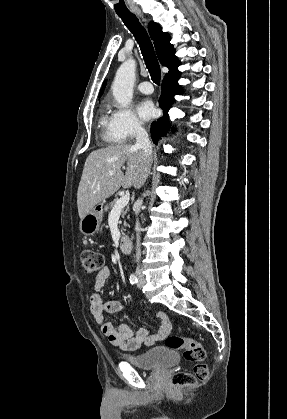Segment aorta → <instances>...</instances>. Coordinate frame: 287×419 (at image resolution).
<instances>
[{"label":"aorta","mask_w":287,"mask_h":419,"mask_svg":"<svg viewBox=\"0 0 287 419\" xmlns=\"http://www.w3.org/2000/svg\"><path fill=\"white\" fill-rule=\"evenodd\" d=\"M136 61L127 59L118 68L113 84V96L120 107H126L133 97V86L135 81Z\"/></svg>","instance_id":"obj_1"}]
</instances>
